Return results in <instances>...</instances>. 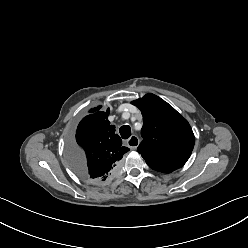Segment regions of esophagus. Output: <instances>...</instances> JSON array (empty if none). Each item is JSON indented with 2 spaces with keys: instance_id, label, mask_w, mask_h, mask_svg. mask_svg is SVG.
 <instances>
[{
  "instance_id": "34e87169",
  "label": "esophagus",
  "mask_w": 248,
  "mask_h": 248,
  "mask_svg": "<svg viewBox=\"0 0 248 248\" xmlns=\"http://www.w3.org/2000/svg\"><path fill=\"white\" fill-rule=\"evenodd\" d=\"M127 145L130 149L135 150L139 145V138L136 135H132L127 140Z\"/></svg>"
}]
</instances>
